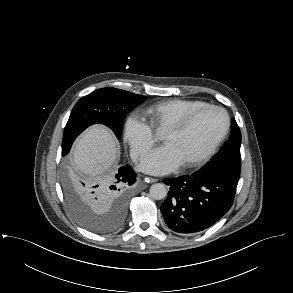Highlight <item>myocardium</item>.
Segmentation results:
<instances>
[{"mask_svg":"<svg viewBox=\"0 0 293 293\" xmlns=\"http://www.w3.org/2000/svg\"><path fill=\"white\" fill-rule=\"evenodd\" d=\"M206 110H216V111H219L223 114V116L225 118L224 129L221 132V134L216 138V140L210 145V147L201 156H199V157H197L187 163L182 164V167H184L186 169L195 168V167H198V166L204 164L217 151V149L219 148L221 143L227 137L229 130H230L231 120H230V116H229L228 112L220 106L213 105V104H206L204 106H201V107L187 113L181 119H179L178 121H176L173 124H171L170 126H168L164 131L166 133H175V134L180 133V132L184 131L189 126V124L199 114H201L202 112H204Z\"/></svg>","mask_w":293,"mask_h":293,"instance_id":"1","label":"myocardium"}]
</instances>
